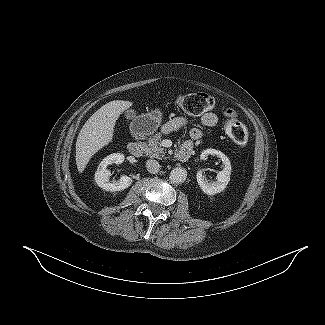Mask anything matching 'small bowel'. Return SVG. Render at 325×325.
I'll return each instance as SVG.
<instances>
[{
    "instance_id": "obj_1",
    "label": "small bowel",
    "mask_w": 325,
    "mask_h": 325,
    "mask_svg": "<svg viewBox=\"0 0 325 325\" xmlns=\"http://www.w3.org/2000/svg\"><path fill=\"white\" fill-rule=\"evenodd\" d=\"M226 117L234 116V112L231 109L224 111ZM202 125L205 127H215L219 123V117L216 113L209 112L204 114L200 119ZM187 124V120L183 117H176L165 123L163 126L164 132H172L183 128ZM190 139L185 142L193 147L194 142L202 138V131L199 128H192L189 133Z\"/></svg>"
}]
</instances>
